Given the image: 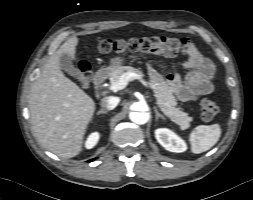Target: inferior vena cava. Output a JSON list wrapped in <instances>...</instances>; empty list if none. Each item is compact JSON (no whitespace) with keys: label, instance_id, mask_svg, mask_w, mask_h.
Masks as SVG:
<instances>
[{"label":"inferior vena cava","instance_id":"inferior-vena-cava-1","mask_svg":"<svg viewBox=\"0 0 253 200\" xmlns=\"http://www.w3.org/2000/svg\"><path fill=\"white\" fill-rule=\"evenodd\" d=\"M119 103V98L114 96H108L102 99L101 107L106 110L114 109Z\"/></svg>","mask_w":253,"mask_h":200}]
</instances>
